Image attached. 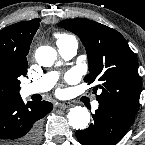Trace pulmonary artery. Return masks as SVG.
<instances>
[{"mask_svg":"<svg viewBox=\"0 0 145 145\" xmlns=\"http://www.w3.org/2000/svg\"><path fill=\"white\" fill-rule=\"evenodd\" d=\"M57 48L60 56L65 60H69L77 53L78 42L75 38L60 40L57 41ZM57 78L58 72L53 71L47 73L36 82L23 85L21 88V95L27 97L33 94L46 92L55 84ZM98 106V101H93L92 107L97 109Z\"/></svg>","mask_w":145,"mask_h":145,"instance_id":"1","label":"pulmonary artery"}]
</instances>
